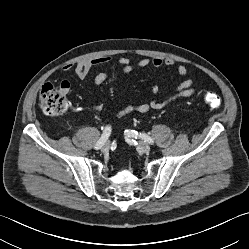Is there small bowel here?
Listing matches in <instances>:
<instances>
[{"label": "small bowel", "instance_id": "1", "mask_svg": "<svg viewBox=\"0 0 249 249\" xmlns=\"http://www.w3.org/2000/svg\"><path fill=\"white\" fill-rule=\"evenodd\" d=\"M112 60H113L112 56L104 55L87 60H82L75 64H66L63 66L62 69L64 72L74 70L75 74L80 79H84L89 75L92 69L104 66L109 62H111ZM116 60L121 66L122 74H129L134 70L146 68L149 66H152L156 69H160L162 67L175 66L178 77L183 79L174 88V90L171 92V94L168 97L164 99L155 97L151 99L149 102L126 105L120 108L115 113L116 118H122L131 115L133 113H146L151 110H161L179 99L188 98L192 96L196 91V88L194 86V79L192 77H187L188 74L187 67L181 62H175L173 59L170 58L162 59L160 57L140 58L132 60L129 57L120 56ZM108 78H109V73L106 71H101L93 77L92 84L94 86H99L104 82H106ZM59 88L62 91V93H64L65 95L68 94L70 91V82L68 80L61 81ZM151 92L154 96H157L160 92V87L157 84L153 85L151 88ZM101 107L102 106L100 103L92 105V109L95 111L100 110Z\"/></svg>", "mask_w": 249, "mask_h": 249}]
</instances>
